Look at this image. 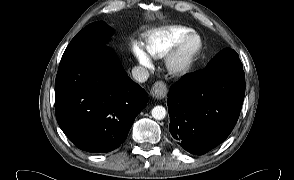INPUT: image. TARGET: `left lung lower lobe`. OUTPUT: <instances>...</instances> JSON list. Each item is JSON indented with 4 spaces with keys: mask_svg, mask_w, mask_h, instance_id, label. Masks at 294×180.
Listing matches in <instances>:
<instances>
[{
    "mask_svg": "<svg viewBox=\"0 0 294 180\" xmlns=\"http://www.w3.org/2000/svg\"><path fill=\"white\" fill-rule=\"evenodd\" d=\"M244 95L242 66H218L183 76L168 93L172 137L189 153H207L231 133Z\"/></svg>",
    "mask_w": 294,
    "mask_h": 180,
    "instance_id": "left-lung-lower-lobe-1",
    "label": "left lung lower lobe"
}]
</instances>
